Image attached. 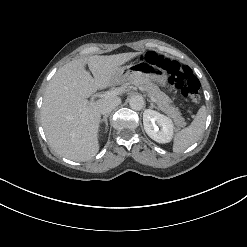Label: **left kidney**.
Returning a JSON list of instances; mask_svg holds the SVG:
<instances>
[{
    "label": "left kidney",
    "mask_w": 247,
    "mask_h": 247,
    "mask_svg": "<svg viewBox=\"0 0 247 247\" xmlns=\"http://www.w3.org/2000/svg\"><path fill=\"white\" fill-rule=\"evenodd\" d=\"M143 125L147 135L158 143H168L173 137L174 125L172 120L157 111L145 110Z\"/></svg>",
    "instance_id": "obj_1"
}]
</instances>
